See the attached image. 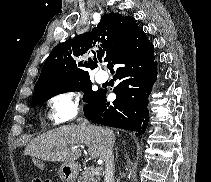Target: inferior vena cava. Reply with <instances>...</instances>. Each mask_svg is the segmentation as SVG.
<instances>
[{
  "mask_svg": "<svg viewBox=\"0 0 211 182\" xmlns=\"http://www.w3.org/2000/svg\"><path fill=\"white\" fill-rule=\"evenodd\" d=\"M85 125V124H83ZM97 134L103 135V140L105 142V152L102 159L105 162V182H114V156L113 147L107 140L108 131L106 129H97Z\"/></svg>",
  "mask_w": 211,
  "mask_h": 182,
  "instance_id": "inferior-vena-cava-1",
  "label": "inferior vena cava"
}]
</instances>
